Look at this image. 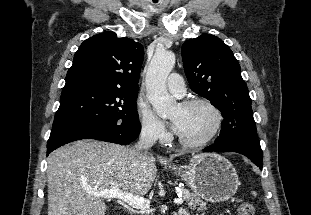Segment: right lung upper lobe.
I'll return each instance as SVG.
<instances>
[{
    "label": "right lung upper lobe",
    "instance_id": "cb5924a9",
    "mask_svg": "<svg viewBox=\"0 0 311 215\" xmlns=\"http://www.w3.org/2000/svg\"><path fill=\"white\" fill-rule=\"evenodd\" d=\"M143 46L111 31L85 40L75 53L65 86L93 84L137 91Z\"/></svg>",
    "mask_w": 311,
    "mask_h": 215
}]
</instances>
